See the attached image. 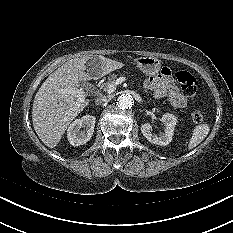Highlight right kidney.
<instances>
[{"instance_id":"ca27d5eb","label":"right kidney","mask_w":233,"mask_h":233,"mask_svg":"<svg viewBox=\"0 0 233 233\" xmlns=\"http://www.w3.org/2000/svg\"><path fill=\"white\" fill-rule=\"evenodd\" d=\"M95 122L96 118L91 115H86L81 119L73 121L67 130V138L70 144L79 146L87 143L93 135Z\"/></svg>"}]
</instances>
